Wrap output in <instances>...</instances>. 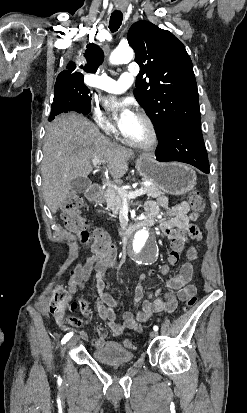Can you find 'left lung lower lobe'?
Instances as JSON below:
<instances>
[{"label": "left lung lower lobe", "instance_id": "left-lung-lower-lobe-1", "mask_svg": "<svg viewBox=\"0 0 247 413\" xmlns=\"http://www.w3.org/2000/svg\"><path fill=\"white\" fill-rule=\"evenodd\" d=\"M157 161H179L209 173V162L201 127L176 125L158 137Z\"/></svg>", "mask_w": 247, "mask_h": 413}]
</instances>
